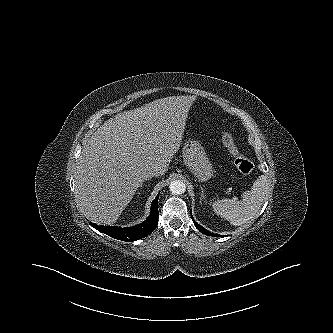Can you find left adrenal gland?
Segmentation results:
<instances>
[{
  "label": "left adrenal gland",
  "mask_w": 333,
  "mask_h": 333,
  "mask_svg": "<svg viewBox=\"0 0 333 333\" xmlns=\"http://www.w3.org/2000/svg\"><path fill=\"white\" fill-rule=\"evenodd\" d=\"M204 198V190H203V188L201 187V199H203Z\"/></svg>",
  "instance_id": "1"
}]
</instances>
